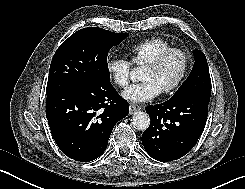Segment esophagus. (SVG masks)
<instances>
[{
  "label": "esophagus",
  "instance_id": "1",
  "mask_svg": "<svg viewBox=\"0 0 245 189\" xmlns=\"http://www.w3.org/2000/svg\"><path fill=\"white\" fill-rule=\"evenodd\" d=\"M139 110V107H137V106H135V105H130L129 106V114H134L136 111H138Z\"/></svg>",
  "mask_w": 245,
  "mask_h": 189
}]
</instances>
